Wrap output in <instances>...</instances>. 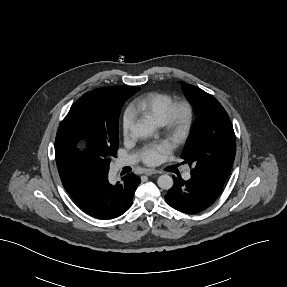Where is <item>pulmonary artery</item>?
I'll return each instance as SVG.
<instances>
[{"label": "pulmonary artery", "mask_w": 287, "mask_h": 287, "mask_svg": "<svg viewBox=\"0 0 287 287\" xmlns=\"http://www.w3.org/2000/svg\"><path fill=\"white\" fill-rule=\"evenodd\" d=\"M135 162V156H130V157H127V158H123L121 160L118 161V164H117V167L118 168H122L124 166H127V165H130V164H133ZM191 177V173H190V170L187 169L184 173H183V178L188 180L190 179Z\"/></svg>", "instance_id": "pulmonary-artery-1"}]
</instances>
